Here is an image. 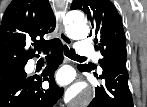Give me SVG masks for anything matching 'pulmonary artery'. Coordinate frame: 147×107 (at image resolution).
I'll use <instances>...</instances> for the list:
<instances>
[{"instance_id":"pulmonary-artery-1","label":"pulmonary artery","mask_w":147,"mask_h":107,"mask_svg":"<svg viewBox=\"0 0 147 107\" xmlns=\"http://www.w3.org/2000/svg\"><path fill=\"white\" fill-rule=\"evenodd\" d=\"M75 52L78 55L83 56H92L95 54L94 47L90 43L85 41H78L75 44Z\"/></svg>"}]
</instances>
